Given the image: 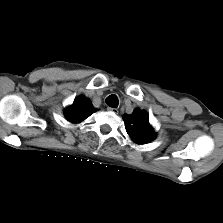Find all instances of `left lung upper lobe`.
<instances>
[{"mask_svg": "<svg viewBox=\"0 0 223 223\" xmlns=\"http://www.w3.org/2000/svg\"><path fill=\"white\" fill-rule=\"evenodd\" d=\"M123 119L128 135L136 143L145 144L154 139L155 133L145 111L136 109L132 115H124Z\"/></svg>", "mask_w": 223, "mask_h": 223, "instance_id": "left-lung-upper-lobe-1", "label": "left lung upper lobe"}]
</instances>
